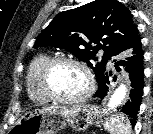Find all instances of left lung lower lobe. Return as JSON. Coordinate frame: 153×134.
<instances>
[{"label":"left lung lower lobe","instance_id":"0a47b994","mask_svg":"<svg viewBox=\"0 0 153 134\" xmlns=\"http://www.w3.org/2000/svg\"><path fill=\"white\" fill-rule=\"evenodd\" d=\"M144 53L142 51L141 43L135 47L130 56L127 57L125 60H114V67L117 71H120L119 66H125L126 71L130 74L131 80V92H130V99L127 103L123 106L122 112L129 115L132 119L131 121L132 126L136 123V118L138 114V110L141 104V98L143 93V79H144V67H143V59ZM112 73L110 72V76ZM116 79V77H114ZM109 73L104 72L102 77L98 81V90L95 93L96 97L104 98L107 95V91L109 89Z\"/></svg>","mask_w":153,"mask_h":134}]
</instances>
